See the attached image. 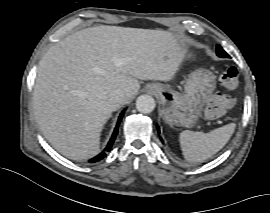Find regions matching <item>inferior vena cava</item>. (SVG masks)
I'll return each mask as SVG.
<instances>
[{"mask_svg":"<svg viewBox=\"0 0 270 213\" xmlns=\"http://www.w3.org/2000/svg\"><path fill=\"white\" fill-rule=\"evenodd\" d=\"M125 93L122 90L116 89L110 93V101L123 104L125 102Z\"/></svg>","mask_w":270,"mask_h":213,"instance_id":"obj_1","label":"inferior vena cava"}]
</instances>
